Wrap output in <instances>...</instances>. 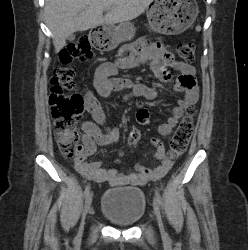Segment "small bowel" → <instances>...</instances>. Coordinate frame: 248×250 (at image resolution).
Returning a JSON list of instances; mask_svg holds the SVG:
<instances>
[{"mask_svg": "<svg viewBox=\"0 0 248 250\" xmlns=\"http://www.w3.org/2000/svg\"><path fill=\"white\" fill-rule=\"evenodd\" d=\"M142 64H148L153 75L165 84L172 83L171 71L180 73L173 87L176 91L183 92L184 97L177 100L176 105L171 109L168 120L159 126L157 130L159 135L169 136L182 117L184 109L198 101L199 93L193 66L175 59L160 39L154 41L140 39L129 46L127 56L118 64L102 63L95 72L93 90L87 91L84 97L85 107L92 115L93 121L82 123V145L79 147L74 162L76 171L95 183L108 182L112 186L144 185L147 182L163 178L172 168L173 162L167 156L164 144L159 138L151 140L152 145L156 148L154 157L159 161L158 165L152 167L137 164L135 172L119 173L115 169L103 168L100 161L87 160L96 152L97 146L114 145L120 138L119 131L108 125L106 113L95 93L108 97L113 91L128 89L131 97L154 100L159 96L158 90L154 87L116 77L118 68L130 69ZM136 118L142 125L149 124L148 108H140ZM132 138L131 132L128 139L132 140Z\"/></svg>", "mask_w": 248, "mask_h": 250, "instance_id": "c3829d8e", "label": "small bowel"}]
</instances>
